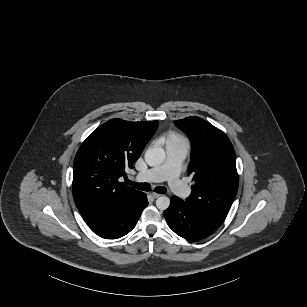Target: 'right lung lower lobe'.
<instances>
[{"mask_svg":"<svg viewBox=\"0 0 307 307\" xmlns=\"http://www.w3.org/2000/svg\"><path fill=\"white\" fill-rule=\"evenodd\" d=\"M147 205V196L141 192L117 209L93 219L87 224L100 237L117 239L129 233L135 227Z\"/></svg>","mask_w":307,"mask_h":307,"instance_id":"98d812e1","label":"right lung lower lobe"}]
</instances>
